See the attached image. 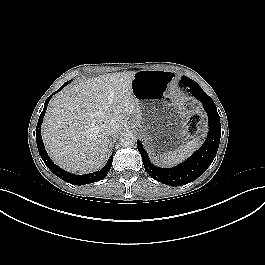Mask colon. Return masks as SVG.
Listing matches in <instances>:
<instances>
[{"label": "colon", "instance_id": "1", "mask_svg": "<svg viewBox=\"0 0 265 265\" xmlns=\"http://www.w3.org/2000/svg\"><path fill=\"white\" fill-rule=\"evenodd\" d=\"M185 108L187 114L189 115L187 123V134L190 136H194L199 131L201 124V115L197 113L190 105H187Z\"/></svg>", "mask_w": 265, "mask_h": 265}]
</instances>
